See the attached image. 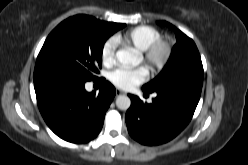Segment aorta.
<instances>
[{"label":"aorta","mask_w":248,"mask_h":165,"mask_svg":"<svg viewBox=\"0 0 248 165\" xmlns=\"http://www.w3.org/2000/svg\"><path fill=\"white\" fill-rule=\"evenodd\" d=\"M116 58L121 64L125 65H138L140 63V58L138 54L132 50L121 49L116 53ZM131 105V100L126 95H120L116 99V106L120 110H127Z\"/></svg>","instance_id":"1"}]
</instances>
